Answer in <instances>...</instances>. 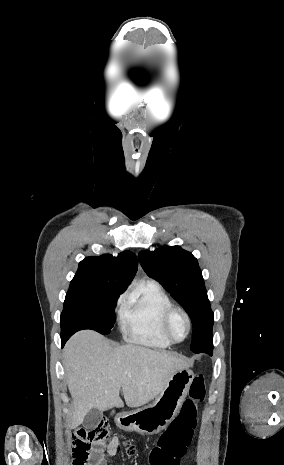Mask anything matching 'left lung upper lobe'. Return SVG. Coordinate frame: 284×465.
<instances>
[{"label": "left lung upper lobe", "instance_id": "5c2ea615", "mask_svg": "<svg viewBox=\"0 0 284 465\" xmlns=\"http://www.w3.org/2000/svg\"><path fill=\"white\" fill-rule=\"evenodd\" d=\"M138 258L148 276L156 279L184 307L192 320L190 349L212 355L214 323L197 259L179 246L141 251Z\"/></svg>", "mask_w": 284, "mask_h": 465}]
</instances>
